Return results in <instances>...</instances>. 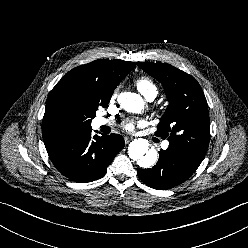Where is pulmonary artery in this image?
I'll return each mask as SVG.
<instances>
[{"label": "pulmonary artery", "instance_id": "e3ab8cb5", "mask_svg": "<svg viewBox=\"0 0 248 248\" xmlns=\"http://www.w3.org/2000/svg\"><path fill=\"white\" fill-rule=\"evenodd\" d=\"M156 94H157V93H151L150 95H148V96L146 97V99H147L148 101H153L154 98L156 97ZM107 123H108V120H106V119H104V118H98V119L96 120L97 126L106 125ZM168 146H169V142H168V141L163 142L162 147H163L164 149H166Z\"/></svg>", "mask_w": 248, "mask_h": 248}]
</instances>
